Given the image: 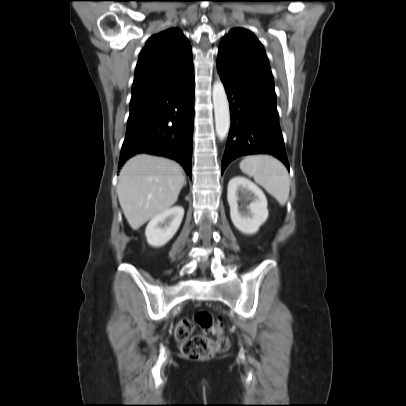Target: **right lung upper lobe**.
Instances as JSON below:
<instances>
[{
  "label": "right lung upper lobe",
  "mask_w": 406,
  "mask_h": 406,
  "mask_svg": "<svg viewBox=\"0 0 406 406\" xmlns=\"http://www.w3.org/2000/svg\"><path fill=\"white\" fill-rule=\"evenodd\" d=\"M193 70L192 48L180 29L170 28L151 36L140 52L130 106L168 88Z\"/></svg>",
  "instance_id": "right-lung-upper-lobe-1"
}]
</instances>
